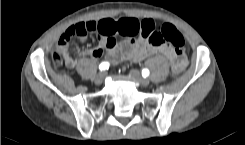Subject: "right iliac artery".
I'll return each instance as SVG.
<instances>
[{"label":"right iliac artery","mask_w":245,"mask_h":145,"mask_svg":"<svg viewBox=\"0 0 245 145\" xmlns=\"http://www.w3.org/2000/svg\"><path fill=\"white\" fill-rule=\"evenodd\" d=\"M109 68V63L108 62H102L100 65H99V69L101 70V71H104V70H106V69H108Z\"/></svg>","instance_id":"obj_1"}]
</instances>
